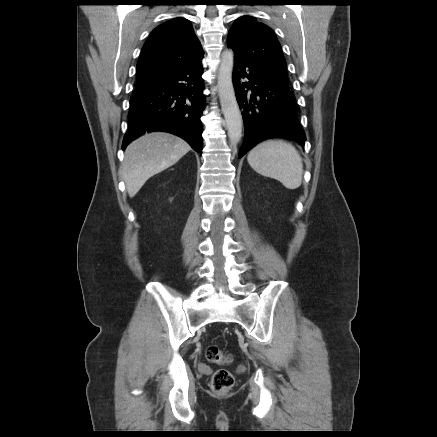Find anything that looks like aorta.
Instances as JSON below:
<instances>
[{"mask_svg":"<svg viewBox=\"0 0 437 437\" xmlns=\"http://www.w3.org/2000/svg\"><path fill=\"white\" fill-rule=\"evenodd\" d=\"M233 67L234 53L227 49L222 53L218 70V93L230 143L237 144L242 137V116L232 82Z\"/></svg>","mask_w":437,"mask_h":437,"instance_id":"1","label":"aorta"}]
</instances>
